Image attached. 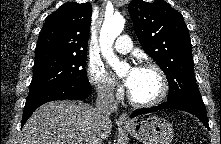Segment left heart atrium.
I'll list each match as a JSON object with an SVG mask.
<instances>
[{"mask_svg": "<svg viewBox=\"0 0 221 144\" xmlns=\"http://www.w3.org/2000/svg\"><path fill=\"white\" fill-rule=\"evenodd\" d=\"M137 68H131L130 72L128 74V76L125 79V85L126 87H128L129 89L132 87L133 82H134V77L136 74Z\"/></svg>", "mask_w": 221, "mask_h": 144, "instance_id": "39dd6f15", "label": "left heart atrium"}]
</instances>
